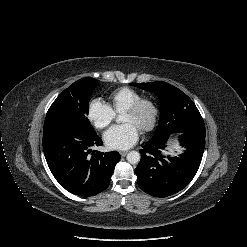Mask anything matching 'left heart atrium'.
I'll use <instances>...</instances> for the list:
<instances>
[{
	"instance_id": "obj_1",
	"label": "left heart atrium",
	"mask_w": 247,
	"mask_h": 247,
	"mask_svg": "<svg viewBox=\"0 0 247 247\" xmlns=\"http://www.w3.org/2000/svg\"><path fill=\"white\" fill-rule=\"evenodd\" d=\"M139 128L133 123L116 125L104 134V141L108 148L126 150L133 146L139 139Z\"/></svg>"
}]
</instances>
